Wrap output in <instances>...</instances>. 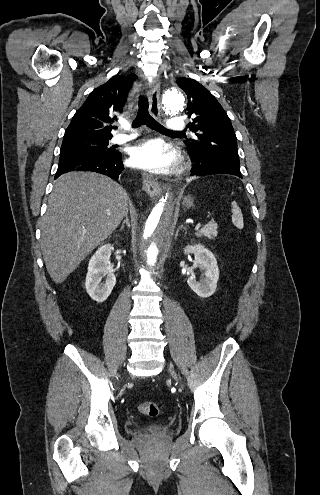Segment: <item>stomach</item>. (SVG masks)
I'll use <instances>...</instances> for the list:
<instances>
[{"label": "stomach", "instance_id": "1", "mask_svg": "<svg viewBox=\"0 0 320 495\" xmlns=\"http://www.w3.org/2000/svg\"><path fill=\"white\" fill-rule=\"evenodd\" d=\"M183 205L187 208L193 206V199L190 196H187L183 200Z\"/></svg>", "mask_w": 320, "mask_h": 495}]
</instances>
